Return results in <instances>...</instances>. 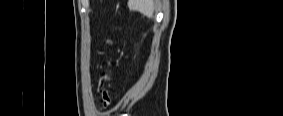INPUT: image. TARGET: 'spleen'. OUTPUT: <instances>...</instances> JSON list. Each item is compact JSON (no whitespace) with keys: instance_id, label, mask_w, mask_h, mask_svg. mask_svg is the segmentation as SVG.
Wrapping results in <instances>:
<instances>
[{"instance_id":"obj_1","label":"spleen","mask_w":283,"mask_h":116,"mask_svg":"<svg viewBox=\"0 0 283 116\" xmlns=\"http://www.w3.org/2000/svg\"><path fill=\"white\" fill-rule=\"evenodd\" d=\"M128 7L132 11H138L148 18L154 17V3L152 0H129Z\"/></svg>"}]
</instances>
